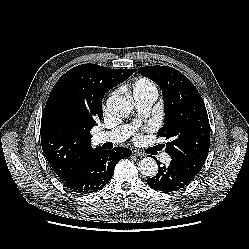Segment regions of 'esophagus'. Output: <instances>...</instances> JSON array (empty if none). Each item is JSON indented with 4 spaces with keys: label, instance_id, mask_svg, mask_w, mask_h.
<instances>
[{
    "label": "esophagus",
    "instance_id": "obj_1",
    "mask_svg": "<svg viewBox=\"0 0 249 249\" xmlns=\"http://www.w3.org/2000/svg\"><path fill=\"white\" fill-rule=\"evenodd\" d=\"M133 154L136 155V156H140V157H144L145 156L144 152L139 151V150H134Z\"/></svg>",
    "mask_w": 249,
    "mask_h": 249
}]
</instances>
